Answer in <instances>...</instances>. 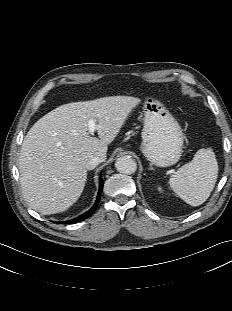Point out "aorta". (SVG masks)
I'll return each mask as SVG.
<instances>
[{"label":"aorta","instance_id":"aorta-1","mask_svg":"<svg viewBox=\"0 0 232 311\" xmlns=\"http://www.w3.org/2000/svg\"><path fill=\"white\" fill-rule=\"evenodd\" d=\"M115 167L120 173L133 174L137 169V164L130 156H122L116 160Z\"/></svg>","mask_w":232,"mask_h":311}]
</instances>
